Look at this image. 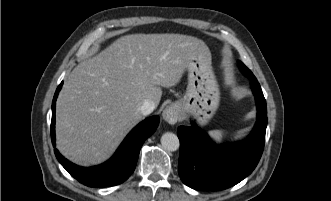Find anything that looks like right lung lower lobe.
Listing matches in <instances>:
<instances>
[{
    "label": "right lung lower lobe",
    "mask_w": 331,
    "mask_h": 201,
    "mask_svg": "<svg viewBox=\"0 0 331 201\" xmlns=\"http://www.w3.org/2000/svg\"><path fill=\"white\" fill-rule=\"evenodd\" d=\"M58 86L52 102L51 139L55 147V108ZM159 124V117L152 116L138 124L125 138L116 153L107 162L90 168L77 166L65 159L57 149L55 155L60 164L76 180L89 187H106L123 183L133 173L144 141L151 136Z\"/></svg>",
    "instance_id": "right-lung-lower-lobe-1"
}]
</instances>
